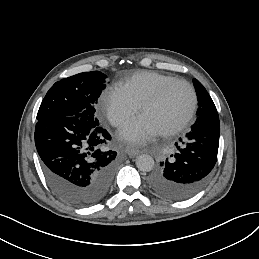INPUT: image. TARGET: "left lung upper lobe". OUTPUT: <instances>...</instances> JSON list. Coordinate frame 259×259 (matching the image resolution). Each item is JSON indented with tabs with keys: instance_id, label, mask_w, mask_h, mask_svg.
I'll use <instances>...</instances> for the list:
<instances>
[{
	"instance_id": "obj_1",
	"label": "left lung upper lobe",
	"mask_w": 259,
	"mask_h": 259,
	"mask_svg": "<svg viewBox=\"0 0 259 259\" xmlns=\"http://www.w3.org/2000/svg\"><path fill=\"white\" fill-rule=\"evenodd\" d=\"M194 87L198 97L199 109L197 111L198 117L208 114L217 113L214 102L204 86L197 80L193 79Z\"/></svg>"
}]
</instances>
